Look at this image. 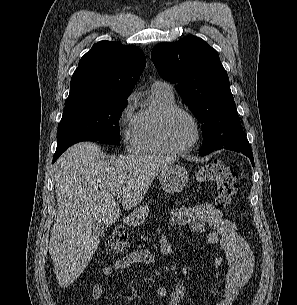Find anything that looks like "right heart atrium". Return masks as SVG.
I'll use <instances>...</instances> for the list:
<instances>
[{
  "instance_id": "right-heart-atrium-1",
  "label": "right heart atrium",
  "mask_w": 297,
  "mask_h": 305,
  "mask_svg": "<svg viewBox=\"0 0 297 305\" xmlns=\"http://www.w3.org/2000/svg\"><path fill=\"white\" fill-rule=\"evenodd\" d=\"M134 101L135 95H129L118 115L120 134L127 146H130V140L135 126Z\"/></svg>"
}]
</instances>
